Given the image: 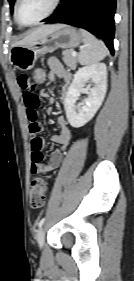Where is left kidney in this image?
I'll list each match as a JSON object with an SVG mask.
<instances>
[{"mask_svg": "<svg viewBox=\"0 0 134 281\" xmlns=\"http://www.w3.org/2000/svg\"><path fill=\"white\" fill-rule=\"evenodd\" d=\"M89 81L93 83V87L88 89V97L83 102L76 104L81 90ZM106 90L107 71L104 63H96L78 69L64 99L66 117L72 127H82L94 117L102 105Z\"/></svg>", "mask_w": 134, "mask_h": 281, "instance_id": "obj_1", "label": "left kidney"}]
</instances>
